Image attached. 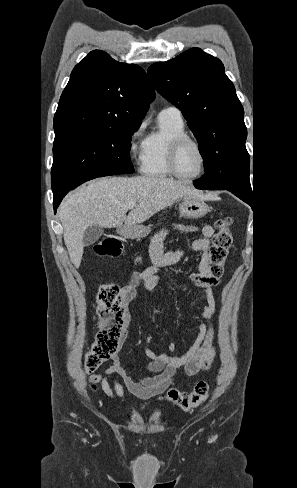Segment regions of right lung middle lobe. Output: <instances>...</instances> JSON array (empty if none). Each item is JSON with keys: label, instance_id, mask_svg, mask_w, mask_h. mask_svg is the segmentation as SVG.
<instances>
[{"label": "right lung middle lobe", "instance_id": "obj_1", "mask_svg": "<svg viewBox=\"0 0 297 488\" xmlns=\"http://www.w3.org/2000/svg\"><path fill=\"white\" fill-rule=\"evenodd\" d=\"M138 127L86 129L56 135L51 171L54 198L97 177L133 173L129 151Z\"/></svg>", "mask_w": 297, "mask_h": 488}]
</instances>
